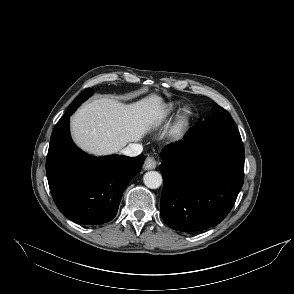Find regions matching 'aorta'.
I'll list each match as a JSON object with an SVG mask.
<instances>
[{"instance_id": "obj_1", "label": "aorta", "mask_w": 294, "mask_h": 294, "mask_svg": "<svg viewBox=\"0 0 294 294\" xmlns=\"http://www.w3.org/2000/svg\"><path fill=\"white\" fill-rule=\"evenodd\" d=\"M144 184L150 189H157L161 186L162 175L157 171H148L143 176Z\"/></svg>"}]
</instances>
